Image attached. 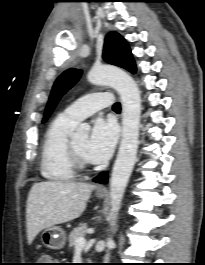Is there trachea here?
Instances as JSON below:
<instances>
[{
    "label": "trachea",
    "instance_id": "1",
    "mask_svg": "<svg viewBox=\"0 0 205 265\" xmlns=\"http://www.w3.org/2000/svg\"><path fill=\"white\" fill-rule=\"evenodd\" d=\"M113 109L114 110H120L121 109V106H120V103L119 102H117V103H115L114 105H113Z\"/></svg>",
    "mask_w": 205,
    "mask_h": 265
}]
</instances>
